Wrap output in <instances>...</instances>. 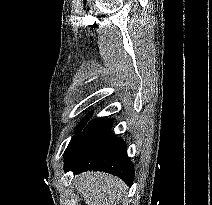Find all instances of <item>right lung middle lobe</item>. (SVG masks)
Here are the masks:
<instances>
[{"mask_svg": "<svg viewBox=\"0 0 212 205\" xmlns=\"http://www.w3.org/2000/svg\"><path fill=\"white\" fill-rule=\"evenodd\" d=\"M93 112L90 113V115L92 114ZM89 120V116H86L79 124V127L77 128L72 140L70 141L66 151L69 149V147L72 145V143L74 142V140L76 139V137L79 135V133L81 132V130L83 129V126H85V124L87 123V121Z\"/></svg>", "mask_w": 212, "mask_h": 205, "instance_id": "right-lung-middle-lobe-1", "label": "right lung middle lobe"}]
</instances>
